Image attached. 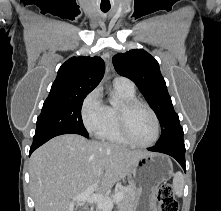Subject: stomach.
<instances>
[{
  "instance_id": "1",
  "label": "stomach",
  "mask_w": 221,
  "mask_h": 211,
  "mask_svg": "<svg viewBox=\"0 0 221 211\" xmlns=\"http://www.w3.org/2000/svg\"><path fill=\"white\" fill-rule=\"evenodd\" d=\"M172 174V163L164 155L148 153L137 159L128 175L136 192L134 211H145L148 199Z\"/></svg>"
}]
</instances>
